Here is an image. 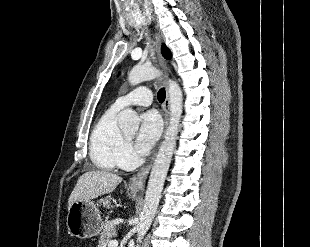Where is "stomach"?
<instances>
[{"mask_svg": "<svg viewBox=\"0 0 310 247\" xmlns=\"http://www.w3.org/2000/svg\"><path fill=\"white\" fill-rule=\"evenodd\" d=\"M128 195L135 199L137 194L128 191ZM100 204L110 206L109 198L101 199ZM66 224L69 233L80 239H87L98 235L103 228L100 211L92 201H75L68 209Z\"/></svg>", "mask_w": 310, "mask_h": 247, "instance_id": "0dacf381", "label": "stomach"}]
</instances>
